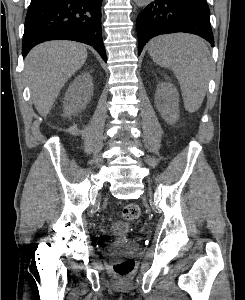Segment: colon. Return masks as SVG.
<instances>
[{"instance_id": "1", "label": "colon", "mask_w": 245, "mask_h": 300, "mask_svg": "<svg viewBox=\"0 0 245 300\" xmlns=\"http://www.w3.org/2000/svg\"><path fill=\"white\" fill-rule=\"evenodd\" d=\"M140 213L141 209L138 204L129 203L123 208L122 217L127 221H133L140 216ZM133 268L134 261L130 257L119 259L113 265L115 273L121 278L128 277L133 271Z\"/></svg>"}]
</instances>
